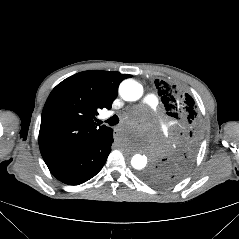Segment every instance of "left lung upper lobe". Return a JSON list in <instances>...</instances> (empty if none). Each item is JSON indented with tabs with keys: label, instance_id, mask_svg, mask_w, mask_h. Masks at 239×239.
<instances>
[{
	"label": "left lung upper lobe",
	"instance_id": "obj_1",
	"mask_svg": "<svg viewBox=\"0 0 239 239\" xmlns=\"http://www.w3.org/2000/svg\"><path fill=\"white\" fill-rule=\"evenodd\" d=\"M155 85L166 114L173 121L174 147L162 162L146 171L143 178L152 185L167 187L181 180L192 167L200 142L201 124L197 105L188 93L159 79L155 80Z\"/></svg>",
	"mask_w": 239,
	"mask_h": 239
}]
</instances>
